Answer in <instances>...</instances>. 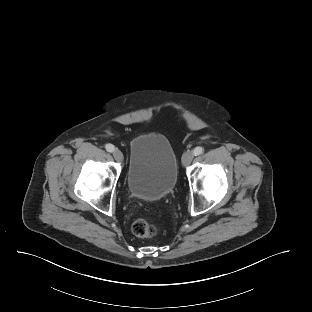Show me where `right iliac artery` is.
Here are the masks:
<instances>
[{
  "label": "right iliac artery",
  "instance_id": "right-iliac-artery-1",
  "mask_svg": "<svg viewBox=\"0 0 312 312\" xmlns=\"http://www.w3.org/2000/svg\"><path fill=\"white\" fill-rule=\"evenodd\" d=\"M105 148L108 152H113L115 150V147L112 144H106Z\"/></svg>",
  "mask_w": 312,
  "mask_h": 312
}]
</instances>
